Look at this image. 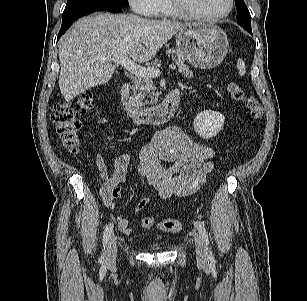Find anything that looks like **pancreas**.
<instances>
[{
    "label": "pancreas",
    "instance_id": "obj_1",
    "mask_svg": "<svg viewBox=\"0 0 307 301\" xmlns=\"http://www.w3.org/2000/svg\"><path fill=\"white\" fill-rule=\"evenodd\" d=\"M172 60L178 66V71L183 76L191 78L193 76L192 71L188 69L185 64L184 58L181 56H172ZM159 60H155L152 63V67H157ZM132 89L134 98L139 101H145L146 104L153 105L158 100V95L155 92L156 87L152 81V78L136 76L132 81Z\"/></svg>",
    "mask_w": 307,
    "mask_h": 301
}]
</instances>
